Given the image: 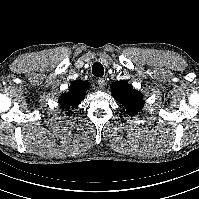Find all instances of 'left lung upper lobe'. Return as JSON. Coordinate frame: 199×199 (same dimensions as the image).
Here are the masks:
<instances>
[{"label":"left lung upper lobe","instance_id":"1","mask_svg":"<svg viewBox=\"0 0 199 199\" xmlns=\"http://www.w3.org/2000/svg\"><path fill=\"white\" fill-rule=\"evenodd\" d=\"M112 95L120 102L128 115L137 114L144 105L143 95L125 81H117L111 84Z\"/></svg>","mask_w":199,"mask_h":199}]
</instances>
